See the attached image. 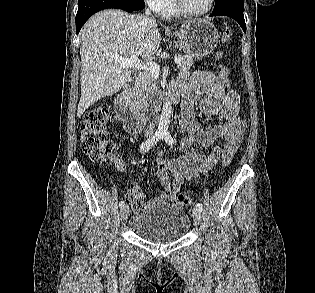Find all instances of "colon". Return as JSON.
Wrapping results in <instances>:
<instances>
[{
  "label": "colon",
  "instance_id": "5ec220e1",
  "mask_svg": "<svg viewBox=\"0 0 315 293\" xmlns=\"http://www.w3.org/2000/svg\"><path fill=\"white\" fill-rule=\"evenodd\" d=\"M233 31L230 27H226L222 33L223 41H229L232 38ZM221 56V52L218 54ZM229 71L224 65H220L219 76L223 85H231L232 79L228 78ZM233 89L232 87L230 88ZM109 117V109L107 106H99L88 111L82 122L80 123V142L82 151L93 160H103L108 157L114 147L113 141L107 131L102 126ZM231 161L229 156H224L223 165L227 166ZM129 190H136L130 187ZM176 202L182 207H190L192 199L185 195L179 194Z\"/></svg>",
  "mask_w": 315,
  "mask_h": 293
}]
</instances>
